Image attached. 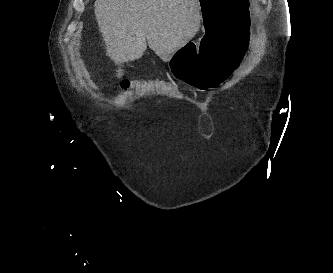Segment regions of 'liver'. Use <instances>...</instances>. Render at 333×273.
<instances>
[{
	"mask_svg": "<svg viewBox=\"0 0 333 273\" xmlns=\"http://www.w3.org/2000/svg\"><path fill=\"white\" fill-rule=\"evenodd\" d=\"M94 13L106 55L118 66L143 56L147 43L168 62L200 28L199 0H96Z\"/></svg>",
	"mask_w": 333,
	"mask_h": 273,
	"instance_id": "liver-1",
	"label": "liver"
}]
</instances>
